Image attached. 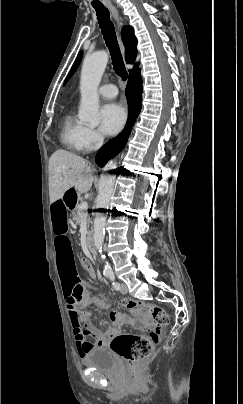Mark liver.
<instances>
[{
  "instance_id": "liver-1",
  "label": "liver",
  "mask_w": 243,
  "mask_h": 404,
  "mask_svg": "<svg viewBox=\"0 0 243 404\" xmlns=\"http://www.w3.org/2000/svg\"><path fill=\"white\" fill-rule=\"evenodd\" d=\"M49 200L50 204L61 200L69 188L75 186L77 192L84 194L89 192L93 184L91 168L86 160L66 152L57 150L49 160Z\"/></svg>"
}]
</instances>
